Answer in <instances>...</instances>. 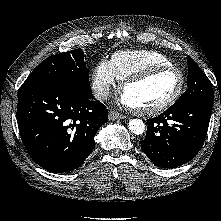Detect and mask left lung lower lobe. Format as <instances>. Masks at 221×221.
<instances>
[{"label": "left lung lower lobe", "mask_w": 221, "mask_h": 221, "mask_svg": "<svg viewBox=\"0 0 221 221\" xmlns=\"http://www.w3.org/2000/svg\"><path fill=\"white\" fill-rule=\"evenodd\" d=\"M212 107V101L192 100L148 119L141 149L154 165L161 168L189 162L204 143Z\"/></svg>", "instance_id": "left-lung-lower-lobe-1"}]
</instances>
